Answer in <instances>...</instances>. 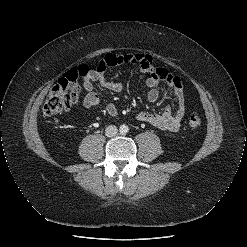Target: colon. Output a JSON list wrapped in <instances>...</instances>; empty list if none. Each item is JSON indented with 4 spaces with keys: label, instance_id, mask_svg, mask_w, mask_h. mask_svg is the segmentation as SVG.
<instances>
[{
    "label": "colon",
    "instance_id": "colon-1",
    "mask_svg": "<svg viewBox=\"0 0 247 247\" xmlns=\"http://www.w3.org/2000/svg\"><path fill=\"white\" fill-rule=\"evenodd\" d=\"M89 69L83 65L79 68L69 71L64 78L51 89L44 103L42 112L45 116H52L71 109L78 101L81 88L78 84V78L84 77ZM189 125L192 128L200 127L202 116L199 112L194 111L190 114Z\"/></svg>",
    "mask_w": 247,
    "mask_h": 247
}]
</instances>
